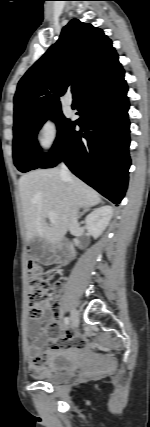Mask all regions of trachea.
Masks as SVG:
<instances>
[{"instance_id": "trachea-1", "label": "trachea", "mask_w": 150, "mask_h": 427, "mask_svg": "<svg viewBox=\"0 0 150 427\" xmlns=\"http://www.w3.org/2000/svg\"><path fill=\"white\" fill-rule=\"evenodd\" d=\"M72 93H73L74 95H76V94H77V92H76V86H75V85H73V86H72Z\"/></svg>"}]
</instances>
